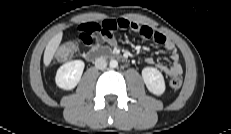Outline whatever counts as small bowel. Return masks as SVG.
Wrapping results in <instances>:
<instances>
[{
    "mask_svg": "<svg viewBox=\"0 0 231 134\" xmlns=\"http://www.w3.org/2000/svg\"><path fill=\"white\" fill-rule=\"evenodd\" d=\"M122 29L137 33L143 38L152 39L155 43L163 45V47L170 53L172 64L170 66L159 65L160 71L168 76H179L182 74L183 68L180 62V55L178 48L168 37L163 33L150 28L149 26L129 21L124 18L107 19L100 23H84L76 28L78 39L86 46H90L93 41L97 44L106 41L109 44H115V31ZM147 64H154L152 58L146 59Z\"/></svg>",
    "mask_w": 231,
    "mask_h": 134,
    "instance_id": "c3829d8e",
    "label": "small bowel"
}]
</instances>
